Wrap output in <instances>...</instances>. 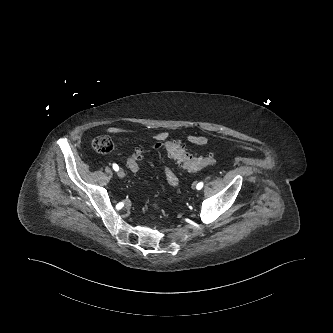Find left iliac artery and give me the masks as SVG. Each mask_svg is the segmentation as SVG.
Here are the masks:
<instances>
[{"mask_svg": "<svg viewBox=\"0 0 333 333\" xmlns=\"http://www.w3.org/2000/svg\"><path fill=\"white\" fill-rule=\"evenodd\" d=\"M203 182H199L196 186L197 190H201L203 188Z\"/></svg>", "mask_w": 333, "mask_h": 333, "instance_id": "left-iliac-artery-1", "label": "left iliac artery"}]
</instances>
